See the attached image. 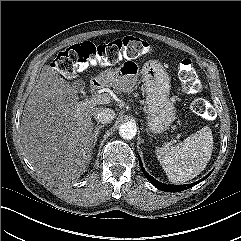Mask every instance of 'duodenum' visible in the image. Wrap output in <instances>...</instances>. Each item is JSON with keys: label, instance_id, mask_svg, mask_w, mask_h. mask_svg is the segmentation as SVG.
Masks as SVG:
<instances>
[{"label": "duodenum", "instance_id": "410a0bca", "mask_svg": "<svg viewBox=\"0 0 241 241\" xmlns=\"http://www.w3.org/2000/svg\"><path fill=\"white\" fill-rule=\"evenodd\" d=\"M103 86V81L99 78H95L91 81L90 86H89V90L91 92H95L98 89L102 88Z\"/></svg>", "mask_w": 241, "mask_h": 241}]
</instances>
